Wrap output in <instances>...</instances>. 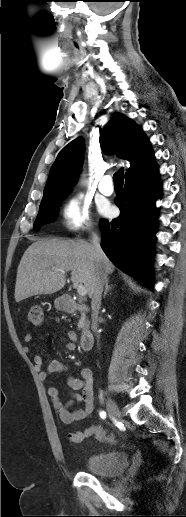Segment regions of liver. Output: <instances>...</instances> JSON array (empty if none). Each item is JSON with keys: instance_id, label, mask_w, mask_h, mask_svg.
<instances>
[{"instance_id": "6515ba94", "label": "liver", "mask_w": 186, "mask_h": 517, "mask_svg": "<svg viewBox=\"0 0 186 517\" xmlns=\"http://www.w3.org/2000/svg\"><path fill=\"white\" fill-rule=\"evenodd\" d=\"M99 265L106 273L114 271V265L107 256L104 254L98 261L93 245L84 240H38L28 247L19 263L15 301L59 291L66 283L65 273L68 271H71L74 286L84 284L92 298Z\"/></svg>"}]
</instances>
